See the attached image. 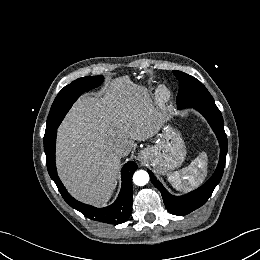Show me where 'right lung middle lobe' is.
Returning <instances> with one entry per match:
<instances>
[{
    "label": "right lung middle lobe",
    "mask_w": 260,
    "mask_h": 260,
    "mask_svg": "<svg viewBox=\"0 0 260 260\" xmlns=\"http://www.w3.org/2000/svg\"><path fill=\"white\" fill-rule=\"evenodd\" d=\"M103 82L102 76L79 78L65 86L56 97L47 120L46 132L56 130L75 100L85 91L98 87Z\"/></svg>",
    "instance_id": "obj_1"
}]
</instances>
